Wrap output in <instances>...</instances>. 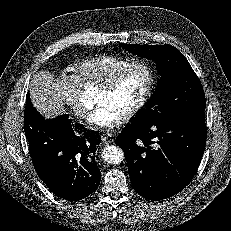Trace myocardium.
<instances>
[{"label": "myocardium", "instance_id": "f54148a6", "mask_svg": "<svg viewBox=\"0 0 231 231\" xmlns=\"http://www.w3.org/2000/svg\"><path fill=\"white\" fill-rule=\"evenodd\" d=\"M137 67H140L146 70L148 74V84H147L145 92L143 93L139 101L126 114H124L125 119H129L137 115L146 106V104L150 100L154 92V89L156 87V81H157L156 73L154 69L152 68V66L145 61L131 62L125 67H123L122 69H120L119 71H117L115 74H113L108 80H106L103 84L99 86L100 90L104 92H107V93L112 92L114 89H116V87L118 86L120 81L123 79V77L127 74V72Z\"/></svg>", "mask_w": 231, "mask_h": 231}]
</instances>
